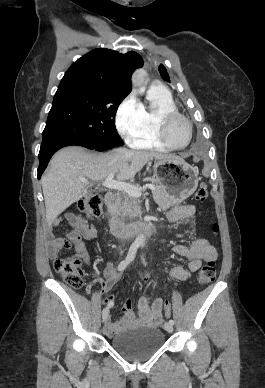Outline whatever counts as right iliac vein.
I'll list each match as a JSON object with an SVG mask.
<instances>
[{
  "instance_id": "63e3f726",
  "label": "right iliac vein",
  "mask_w": 265,
  "mask_h": 388,
  "mask_svg": "<svg viewBox=\"0 0 265 388\" xmlns=\"http://www.w3.org/2000/svg\"><path fill=\"white\" fill-rule=\"evenodd\" d=\"M108 317H109V309L105 308L102 311V320H103V322H105L108 319Z\"/></svg>"
}]
</instances>
